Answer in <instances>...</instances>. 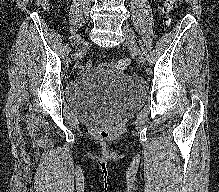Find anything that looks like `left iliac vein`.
Returning <instances> with one entry per match:
<instances>
[{
    "instance_id": "left-iliac-vein-1",
    "label": "left iliac vein",
    "mask_w": 219,
    "mask_h": 192,
    "mask_svg": "<svg viewBox=\"0 0 219 192\" xmlns=\"http://www.w3.org/2000/svg\"><path fill=\"white\" fill-rule=\"evenodd\" d=\"M123 32L125 34L126 43L129 47V49L131 50L133 55L137 58L139 63L144 64V62H145L144 54L135 41L134 33H133L132 29L129 28L128 26H124Z\"/></svg>"
}]
</instances>
